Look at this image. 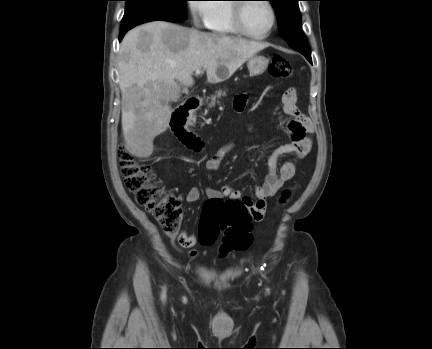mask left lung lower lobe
<instances>
[{
	"label": "left lung lower lobe",
	"mask_w": 432,
	"mask_h": 349,
	"mask_svg": "<svg viewBox=\"0 0 432 349\" xmlns=\"http://www.w3.org/2000/svg\"><path fill=\"white\" fill-rule=\"evenodd\" d=\"M299 52L302 53L307 58V60L312 64L310 51L309 52L299 51Z\"/></svg>",
	"instance_id": "0a47b994"
}]
</instances>
